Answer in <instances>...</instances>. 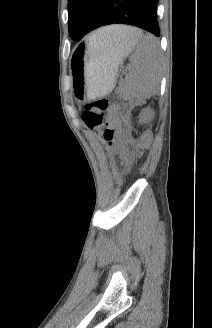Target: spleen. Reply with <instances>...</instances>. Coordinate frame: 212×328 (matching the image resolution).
Returning a JSON list of instances; mask_svg holds the SVG:
<instances>
[{
	"mask_svg": "<svg viewBox=\"0 0 212 328\" xmlns=\"http://www.w3.org/2000/svg\"><path fill=\"white\" fill-rule=\"evenodd\" d=\"M103 29L88 37L90 47L104 48L105 39L101 33ZM136 38V51L130 58L132 69L127 74L126 81L140 95H150L157 89L161 80V53L154 36L143 35L140 31Z\"/></svg>",
	"mask_w": 212,
	"mask_h": 328,
	"instance_id": "3e777b00",
	"label": "spleen"
}]
</instances>
